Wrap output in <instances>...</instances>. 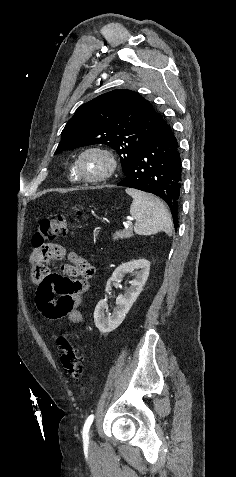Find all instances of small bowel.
<instances>
[{
	"mask_svg": "<svg viewBox=\"0 0 236 477\" xmlns=\"http://www.w3.org/2000/svg\"><path fill=\"white\" fill-rule=\"evenodd\" d=\"M51 246L56 249V253L44 261L42 275L39 278H33L38 284L35 308L49 321L67 317L69 326H76L83 322L79 307L83 303L84 294L90 289L89 280L93 276L94 269L84 256L58 244H51ZM65 258L69 260V263L61 266V272L55 273L48 270L46 265L48 261ZM85 263L90 265L89 272L82 271ZM55 295H58L57 299Z\"/></svg>",
	"mask_w": 236,
	"mask_h": 477,
	"instance_id": "small-bowel-1",
	"label": "small bowel"
}]
</instances>
